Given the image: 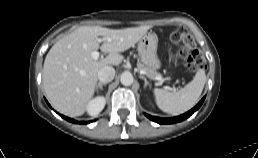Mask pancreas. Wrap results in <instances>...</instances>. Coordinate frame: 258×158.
Wrapping results in <instances>:
<instances>
[{"mask_svg":"<svg viewBox=\"0 0 258 158\" xmlns=\"http://www.w3.org/2000/svg\"><path fill=\"white\" fill-rule=\"evenodd\" d=\"M138 69L141 71H145L147 73V76L151 79H154L155 77L157 76H161L157 71H154L146 66H144L143 64L141 63H138Z\"/></svg>","mask_w":258,"mask_h":158,"instance_id":"obj_1","label":"pancreas"}]
</instances>
